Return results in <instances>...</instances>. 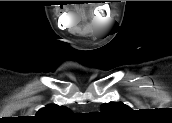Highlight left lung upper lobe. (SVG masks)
I'll list each match as a JSON object with an SVG mask.
<instances>
[{
    "instance_id": "left-lung-upper-lobe-1",
    "label": "left lung upper lobe",
    "mask_w": 172,
    "mask_h": 123,
    "mask_svg": "<svg viewBox=\"0 0 172 123\" xmlns=\"http://www.w3.org/2000/svg\"><path fill=\"white\" fill-rule=\"evenodd\" d=\"M129 109V107L122 102L104 103L101 106V111L104 113H120Z\"/></svg>"
}]
</instances>
